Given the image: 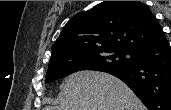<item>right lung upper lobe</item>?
Here are the masks:
<instances>
[{
  "label": "right lung upper lobe",
  "instance_id": "obj_1",
  "mask_svg": "<svg viewBox=\"0 0 171 110\" xmlns=\"http://www.w3.org/2000/svg\"><path fill=\"white\" fill-rule=\"evenodd\" d=\"M164 38L157 19L142 2L103 1L68 21L52 46L51 59L107 48L137 52Z\"/></svg>",
  "mask_w": 171,
  "mask_h": 110
}]
</instances>
